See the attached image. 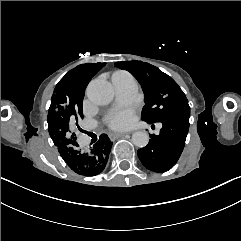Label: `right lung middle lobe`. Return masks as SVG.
Segmentation results:
<instances>
[{
  "label": "right lung middle lobe",
  "mask_w": 241,
  "mask_h": 241,
  "mask_svg": "<svg viewBox=\"0 0 241 241\" xmlns=\"http://www.w3.org/2000/svg\"><path fill=\"white\" fill-rule=\"evenodd\" d=\"M106 63H86L70 70L56 85L51 98L48 119L53 120L61 130L65 144L76 141L73 130L83 118L82 102L85 88L91 78Z\"/></svg>",
  "instance_id": "obj_1"
}]
</instances>
